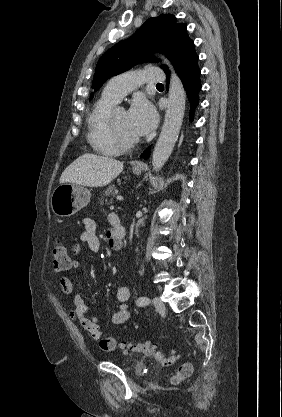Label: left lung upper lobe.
Wrapping results in <instances>:
<instances>
[{
  "instance_id": "5c2ea615",
  "label": "left lung upper lobe",
  "mask_w": 282,
  "mask_h": 417,
  "mask_svg": "<svg viewBox=\"0 0 282 417\" xmlns=\"http://www.w3.org/2000/svg\"><path fill=\"white\" fill-rule=\"evenodd\" d=\"M176 21L172 14L150 18L130 38L115 44L99 59L92 88L97 91L108 78L141 62L155 61L151 56L153 52L164 53L173 61L177 53L192 41L186 32V24H177ZM161 68L167 71L165 65Z\"/></svg>"
}]
</instances>
